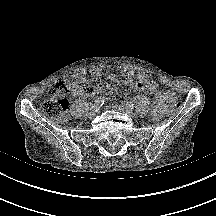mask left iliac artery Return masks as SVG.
I'll list each match as a JSON object with an SVG mask.
<instances>
[{"mask_svg": "<svg viewBox=\"0 0 216 216\" xmlns=\"http://www.w3.org/2000/svg\"><path fill=\"white\" fill-rule=\"evenodd\" d=\"M123 105L131 110L134 109V104L132 102H124Z\"/></svg>", "mask_w": 216, "mask_h": 216, "instance_id": "obj_1", "label": "left iliac artery"}]
</instances>
